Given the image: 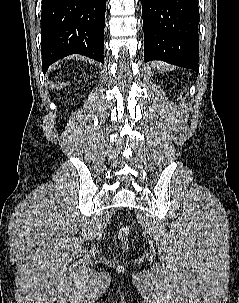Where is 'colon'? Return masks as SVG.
<instances>
[{
    "label": "colon",
    "instance_id": "1",
    "mask_svg": "<svg viewBox=\"0 0 239 303\" xmlns=\"http://www.w3.org/2000/svg\"><path fill=\"white\" fill-rule=\"evenodd\" d=\"M119 238L125 241L129 235V227L127 225H123L119 230Z\"/></svg>",
    "mask_w": 239,
    "mask_h": 303
}]
</instances>
